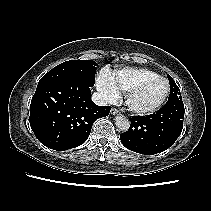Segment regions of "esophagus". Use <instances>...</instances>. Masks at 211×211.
Wrapping results in <instances>:
<instances>
[{"instance_id": "obj_1", "label": "esophagus", "mask_w": 211, "mask_h": 211, "mask_svg": "<svg viewBox=\"0 0 211 211\" xmlns=\"http://www.w3.org/2000/svg\"><path fill=\"white\" fill-rule=\"evenodd\" d=\"M111 115H117L119 113V111L116 108H112L110 110Z\"/></svg>"}]
</instances>
